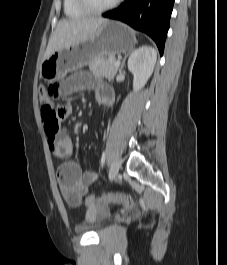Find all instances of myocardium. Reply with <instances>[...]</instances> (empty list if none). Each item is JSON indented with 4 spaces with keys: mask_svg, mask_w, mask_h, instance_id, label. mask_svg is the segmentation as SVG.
<instances>
[{
    "mask_svg": "<svg viewBox=\"0 0 227 265\" xmlns=\"http://www.w3.org/2000/svg\"><path fill=\"white\" fill-rule=\"evenodd\" d=\"M122 0H113L110 4L103 7H94L89 0H76L77 5L90 14H101L115 8Z\"/></svg>",
    "mask_w": 227,
    "mask_h": 265,
    "instance_id": "1",
    "label": "myocardium"
}]
</instances>
